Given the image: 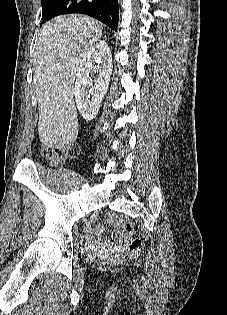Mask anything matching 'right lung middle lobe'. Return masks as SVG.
<instances>
[{"label":"right lung middle lobe","mask_w":227,"mask_h":315,"mask_svg":"<svg viewBox=\"0 0 227 315\" xmlns=\"http://www.w3.org/2000/svg\"><path fill=\"white\" fill-rule=\"evenodd\" d=\"M58 0H42V10H43V13H42V21L43 23L45 22V15H46V12L48 10V8H50L53 4H55Z\"/></svg>","instance_id":"obj_1"}]
</instances>
